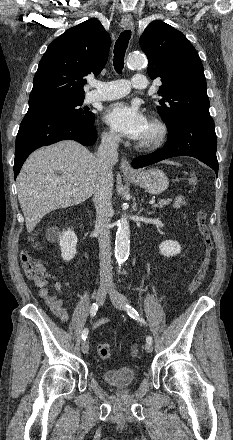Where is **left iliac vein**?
<instances>
[{
	"label": "left iliac vein",
	"instance_id": "left-iliac-vein-1",
	"mask_svg": "<svg viewBox=\"0 0 233 440\" xmlns=\"http://www.w3.org/2000/svg\"><path fill=\"white\" fill-rule=\"evenodd\" d=\"M110 298L112 301V304L114 305V307H116L117 309L123 310L124 309V298L118 294V292H116V290L114 289V287H112L110 289ZM145 350L148 353H151L153 351V346L152 343H146L145 344Z\"/></svg>",
	"mask_w": 233,
	"mask_h": 440
}]
</instances>
